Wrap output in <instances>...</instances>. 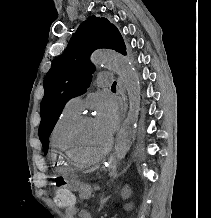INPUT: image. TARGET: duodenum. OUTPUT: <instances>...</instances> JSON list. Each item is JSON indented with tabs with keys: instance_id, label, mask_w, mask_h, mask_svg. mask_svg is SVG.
<instances>
[{
	"instance_id": "duodenum-1",
	"label": "duodenum",
	"mask_w": 211,
	"mask_h": 218,
	"mask_svg": "<svg viewBox=\"0 0 211 218\" xmlns=\"http://www.w3.org/2000/svg\"><path fill=\"white\" fill-rule=\"evenodd\" d=\"M79 215L81 218H91V214L87 210H81Z\"/></svg>"
}]
</instances>
